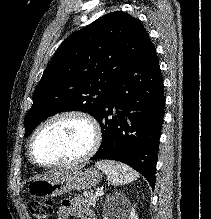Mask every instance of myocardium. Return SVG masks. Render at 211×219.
I'll list each match as a JSON object with an SVG mask.
<instances>
[{
  "label": "myocardium",
  "instance_id": "f54148a6",
  "mask_svg": "<svg viewBox=\"0 0 211 219\" xmlns=\"http://www.w3.org/2000/svg\"><path fill=\"white\" fill-rule=\"evenodd\" d=\"M65 117H70V118H77L79 120H82L90 129L91 132V142L90 145L88 146L87 150L80 155L79 157L68 160V161H63V162H56V163H42L39 162L33 153V144L34 141L39 134V132L49 123L60 119V118H65ZM101 144V130L99 127V124L95 120L94 117H92L90 114L79 111V110H65L61 112H57L44 121H42L36 129L33 131L29 142H28V155L32 163L38 167L41 168H66V167H73L77 166L79 164H82L86 161H88L99 149Z\"/></svg>",
  "mask_w": 211,
  "mask_h": 219
}]
</instances>
